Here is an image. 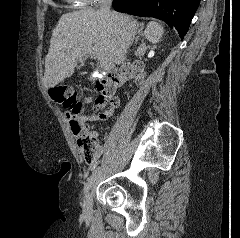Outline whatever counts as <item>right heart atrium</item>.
Masks as SVG:
<instances>
[{
  "label": "right heart atrium",
  "mask_w": 240,
  "mask_h": 238,
  "mask_svg": "<svg viewBox=\"0 0 240 238\" xmlns=\"http://www.w3.org/2000/svg\"><path fill=\"white\" fill-rule=\"evenodd\" d=\"M81 4H84V5H92V4H95L97 3L98 1H101V0H78Z\"/></svg>",
  "instance_id": "right-heart-atrium-1"
}]
</instances>
